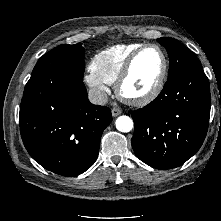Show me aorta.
Masks as SVG:
<instances>
[{
  "label": "aorta",
  "instance_id": "obj_1",
  "mask_svg": "<svg viewBox=\"0 0 221 221\" xmlns=\"http://www.w3.org/2000/svg\"><path fill=\"white\" fill-rule=\"evenodd\" d=\"M115 125L117 130L124 133L130 132L134 127L133 120L126 115L119 116L116 119Z\"/></svg>",
  "mask_w": 221,
  "mask_h": 221
}]
</instances>
